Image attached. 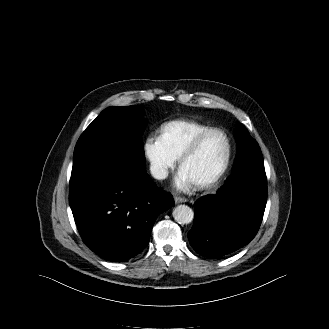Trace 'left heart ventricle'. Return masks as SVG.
Returning a JSON list of instances; mask_svg holds the SVG:
<instances>
[{"instance_id": "left-heart-ventricle-1", "label": "left heart ventricle", "mask_w": 329, "mask_h": 329, "mask_svg": "<svg viewBox=\"0 0 329 329\" xmlns=\"http://www.w3.org/2000/svg\"><path fill=\"white\" fill-rule=\"evenodd\" d=\"M226 140L221 133L208 135L197 152L189 158L181 170L196 184L211 178L220 168L226 154Z\"/></svg>"}]
</instances>
